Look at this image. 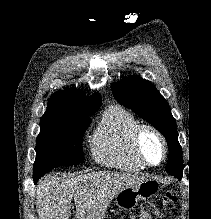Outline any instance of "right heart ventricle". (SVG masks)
<instances>
[{
    "label": "right heart ventricle",
    "instance_id": "e07e8e85",
    "mask_svg": "<svg viewBox=\"0 0 211 219\" xmlns=\"http://www.w3.org/2000/svg\"><path fill=\"white\" fill-rule=\"evenodd\" d=\"M139 120L128 110L113 105L107 108L90 140L94 160L122 171H141L146 166L133 151V135Z\"/></svg>",
    "mask_w": 211,
    "mask_h": 219
}]
</instances>
